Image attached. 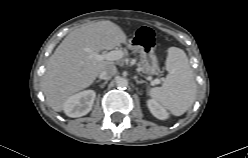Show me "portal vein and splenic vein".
<instances>
[{
    "mask_svg": "<svg viewBox=\"0 0 248 158\" xmlns=\"http://www.w3.org/2000/svg\"><path fill=\"white\" fill-rule=\"evenodd\" d=\"M87 52H91L90 49H86ZM92 57H94L96 60H109V61H115L119 60L123 57V52L121 50H113L107 53L98 54V53H92ZM155 83H160L159 79H155Z\"/></svg>",
    "mask_w": 248,
    "mask_h": 158,
    "instance_id": "obj_1",
    "label": "portal vein and splenic vein"
}]
</instances>
